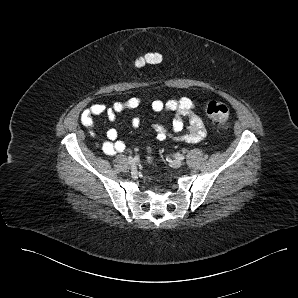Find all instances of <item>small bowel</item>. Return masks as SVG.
<instances>
[{
    "instance_id": "c3829d8e",
    "label": "small bowel",
    "mask_w": 298,
    "mask_h": 298,
    "mask_svg": "<svg viewBox=\"0 0 298 298\" xmlns=\"http://www.w3.org/2000/svg\"><path fill=\"white\" fill-rule=\"evenodd\" d=\"M142 102L143 100L139 97H131L123 102H114L109 107L102 103H95L83 110L81 113V122L88 133L92 137H95V118L97 116L105 114L109 120L113 121L122 111L138 108ZM149 103L155 112L160 114L172 112L174 114V117L170 122L171 129H168L167 126L162 123H156L152 126L158 141L171 140L196 143L205 137L206 128L204 122L195 113V104L191 99L182 97L180 99H171L165 102L160 99H154ZM184 119L188 120L187 126L184 123ZM131 125L133 128L137 129L140 126V119L138 117H133L131 119ZM100 148L105 154L113 156L125 151L126 144L124 141L118 139L117 130L111 128L107 131V140L100 143Z\"/></svg>"
}]
</instances>
